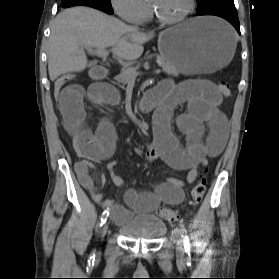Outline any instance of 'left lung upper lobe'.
Instances as JSON below:
<instances>
[{
    "label": "left lung upper lobe",
    "instance_id": "5c2ea615",
    "mask_svg": "<svg viewBox=\"0 0 279 279\" xmlns=\"http://www.w3.org/2000/svg\"><path fill=\"white\" fill-rule=\"evenodd\" d=\"M214 1H217V0H197L199 9L204 8L205 6H207L208 4H210Z\"/></svg>",
    "mask_w": 279,
    "mask_h": 279
}]
</instances>
